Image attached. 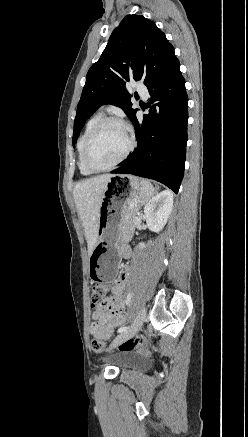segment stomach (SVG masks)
<instances>
[{
  "mask_svg": "<svg viewBox=\"0 0 248 437\" xmlns=\"http://www.w3.org/2000/svg\"><path fill=\"white\" fill-rule=\"evenodd\" d=\"M141 194V182L135 176L120 174L109 180L99 209L98 240L88 265L93 286H114L120 262L117 242L124 207L136 199L140 202Z\"/></svg>",
  "mask_w": 248,
  "mask_h": 437,
  "instance_id": "0dacf381",
  "label": "stomach"
}]
</instances>
